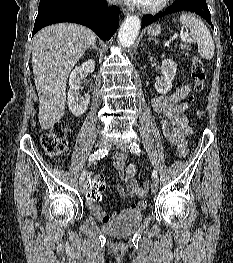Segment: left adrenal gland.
Segmentation results:
<instances>
[{"label":"left adrenal gland","instance_id":"obj_1","mask_svg":"<svg viewBox=\"0 0 233 263\" xmlns=\"http://www.w3.org/2000/svg\"><path fill=\"white\" fill-rule=\"evenodd\" d=\"M151 40H153L155 43H157V41L155 39H152V38H149L148 41H151Z\"/></svg>","mask_w":233,"mask_h":263}]
</instances>
